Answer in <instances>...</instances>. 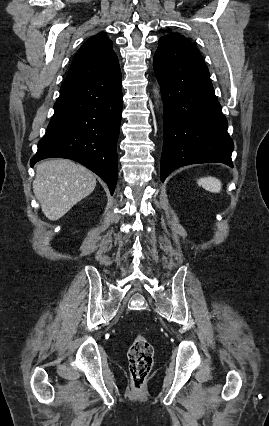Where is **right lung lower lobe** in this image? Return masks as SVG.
Wrapping results in <instances>:
<instances>
[{"label": "right lung lower lobe", "mask_w": 269, "mask_h": 426, "mask_svg": "<svg viewBox=\"0 0 269 426\" xmlns=\"http://www.w3.org/2000/svg\"><path fill=\"white\" fill-rule=\"evenodd\" d=\"M121 82L119 68L106 76L64 83L31 166L50 157L72 159L99 175L113 194L118 174Z\"/></svg>", "instance_id": "98d812e1"}]
</instances>
